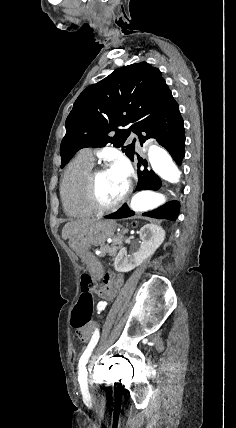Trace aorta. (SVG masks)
Here are the masks:
<instances>
[{
	"instance_id": "aorta-1",
	"label": "aorta",
	"mask_w": 236,
	"mask_h": 428,
	"mask_svg": "<svg viewBox=\"0 0 236 428\" xmlns=\"http://www.w3.org/2000/svg\"><path fill=\"white\" fill-rule=\"evenodd\" d=\"M148 158L152 170L158 176L170 183L179 182L181 172L166 150L157 145H151L148 149ZM165 201V196L162 194L141 191L132 197L130 207L135 212H148L160 207Z\"/></svg>"
}]
</instances>
